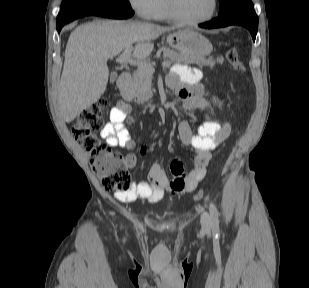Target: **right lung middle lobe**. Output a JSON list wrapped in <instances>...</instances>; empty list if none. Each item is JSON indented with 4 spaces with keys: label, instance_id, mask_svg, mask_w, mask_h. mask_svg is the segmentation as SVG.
<instances>
[{
    "label": "right lung middle lobe",
    "instance_id": "obj_1",
    "mask_svg": "<svg viewBox=\"0 0 309 288\" xmlns=\"http://www.w3.org/2000/svg\"><path fill=\"white\" fill-rule=\"evenodd\" d=\"M95 6H110L131 9L128 0H63L61 10L57 16V24L66 21L78 12Z\"/></svg>",
    "mask_w": 309,
    "mask_h": 288
}]
</instances>
